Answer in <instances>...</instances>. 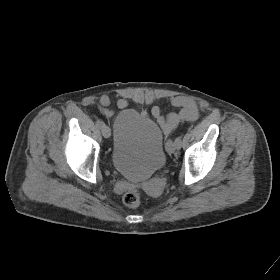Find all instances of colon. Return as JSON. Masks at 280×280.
Returning a JSON list of instances; mask_svg holds the SVG:
<instances>
[{
	"label": "colon",
	"mask_w": 280,
	"mask_h": 280,
	"mask_svg": "<svg viewBox=\"0 0 280 280\" xmlns=\"http://www.w3.org/2000/svg\"><path fill=\"white\" fill-rule=\"evenodd\" d=\"M141 200V193L136 190L132 189L127 191L123 196V202L128 207H137L140 204Z\"/></svg>",
	"instance_id": "obj_1"
}]
</instances>
